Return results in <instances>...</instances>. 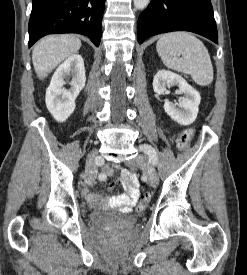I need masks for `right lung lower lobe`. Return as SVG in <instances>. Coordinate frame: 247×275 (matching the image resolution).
Here are the masks:
<instances>
[{
  "instance_id": "98d812e1",
  "label": "right lung lower lobe",
  "mask_w": 247,
  "mask_h": 275,
  "mask_svg": "<svg viewBox=\"0 0 247 275\" xmlns=\"http://www.w3.org/2000/svg\"><path fill=\"white\" fill-rule=\"evenodd\" d=\"M105 0H33L29 47L47 34L87 35L99 46Z\"/></svg>"
}]
</instances>
